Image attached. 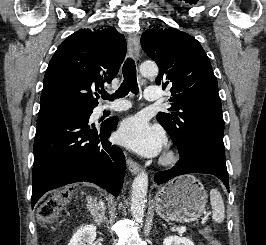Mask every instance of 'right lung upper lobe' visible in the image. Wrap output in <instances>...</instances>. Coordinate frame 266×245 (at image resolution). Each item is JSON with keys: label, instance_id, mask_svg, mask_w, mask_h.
Here are the masks:
<instances>
[{"label": "right lung upper lobe", "instance_id": "cb5924a9", "mask_svg": "<svg viewBox=\"0 0 266 245\" xmlns=\"http://www.w3.org/2000/svg\"><path fill=\"white\" fill-rule=\"evenodd\" d=\"M125 54L126 40L111 26L66 38L46 70L37 121L95 108L92 92L116 77Z\"/></svg>", "mask_w": 266, "mask_h": 245}]
</instances>
